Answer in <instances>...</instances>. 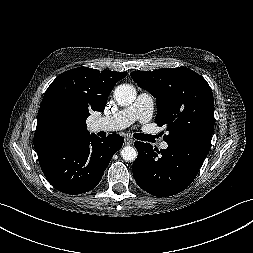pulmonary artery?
<instances>
[{
  "label": "pulmonary artery",
  "mask_w": 253,
  "mask_h": 253,
  "mask_svg": "<svg viewBox=\"0 0 253 253\" xmlns=\"http://www.w3.org/2000/svg\"><path fill=\"white\" fill-rule=\"evenodd\" d=\"M154 102L149 93L143 92L138 95L130 106L123 108L111 116L102 117L95 122V127L100 130H120L136 121L148 122L153 113ZM159 148L167 149L168 143L160 142Z\"/></svg>",
  "instance_id": "obj_1"
}]
</instances>
